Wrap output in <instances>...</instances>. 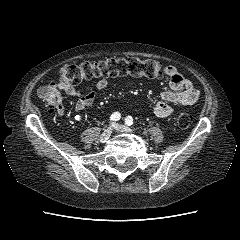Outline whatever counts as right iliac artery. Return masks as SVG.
<instances>
[{
    "label": "right iliac artery",
    "instance_id": "obj_1",
    "mask_svg": "<svg viewBox=\"0 0 240 240\" xmlns=\"http://www.w3.org/2000/svg\"><path fill=\"white\" fill-rule=\"evenodd\" d=\"M121 118V115L119 112H114L111 116H110V121H117Z\"/></svg>",
    "mask_w": 240,
    "mask_h": 240
}]
</instances>
